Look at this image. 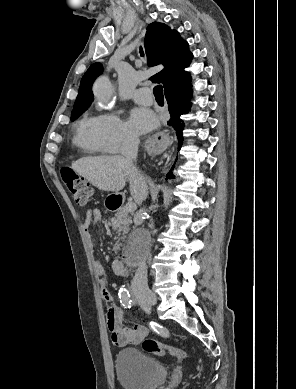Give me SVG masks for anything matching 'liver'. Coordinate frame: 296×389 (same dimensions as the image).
<instances>
[{
  "mask_svg": "<svg viewBox=\"0 0 296 389\" xmlns=\"http://www.w3.org/2000/svg\"><path fill=\"white\" fill-rule=\"evenodd\" d=\"M73 171L103 191L118 193L129 182L130 194L137 203L147 196L145 178L131 172V164L124 156L83 157L71 166Z\"/></svg>",
  "mask_w": 296,
  "mask_h": 389,
  "instance_id": "obj_1",
  "label": "liver"
}]
</instances>
